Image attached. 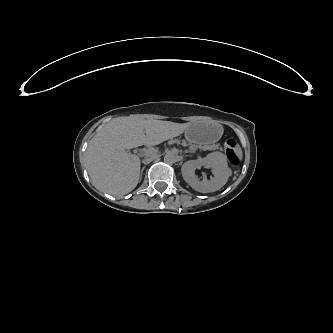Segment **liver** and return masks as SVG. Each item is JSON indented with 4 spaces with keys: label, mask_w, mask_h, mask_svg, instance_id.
Listing matches in <instances>:
<instances>
[{
    "label": "liver",
    "mask_w": 333,
    "mask_h": 333,
    "mask_svg": "<svg viewBox=\"0 0 333 333\" xmlns=\"http://www.w3.org/2000/svg\"><path fill=\"white\" fill-rule=\"evenodd\" d=\"M173 136L172 133H162L113 137L111 133H101L90 141L86 150L88 173L94 184L106 192H130L139 181L140 159L128 150L157 145Z\"/></svg>",
    "instance_id": "1"
}]
</instances>
